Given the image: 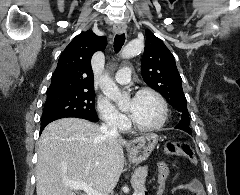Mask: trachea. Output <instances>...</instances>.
I'll return each mask as SVG.
<instances>
[{"label": "trachea", "mask_w": 240, "mask_h": 195, "mask_svg": "<svg viewBox=\"0 0 240 195\" xmlns=\"http://www.w3.org/2000/svg\"><path fill=\"white\" fill-rule=\"evenodd\" d=\"M125 34L122 33L121 35H116L115 39H114V51L115 53H118L121 48L123 47L124 45V42H125Z\"/></svg>", "instance_id": "3493384b"}]
</instances>
